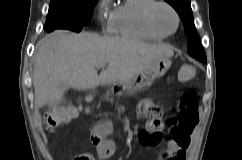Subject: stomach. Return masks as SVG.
<instances>
[{
  "label": "stomach",
  "instance_id": "1",
  "mask_svg": "<svg viewBox=\"0 0 242 160\" xmlns=\"http://www.w3.org/2000/svg\"><path fill=\"white\" fill-rule=\"evenodd\" d=\"M171 67V61L164 59L153 62L146 70L132 79L114 83L113 86L122 89L124 93L133 94L143 89H148L155 79L162 77Z\"/></svg>",
  "mask_w": 242,
  "mask_h": 160
}]
</instances>
